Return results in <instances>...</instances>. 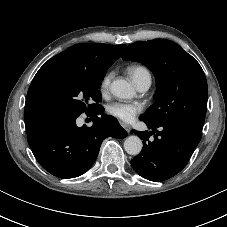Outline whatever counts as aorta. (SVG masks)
I'll return each mask as SVG.
<instances>
[{
  "instance_id": "obj_1",
  "label": "aorta",
  "mask_w": 227,
  "mask_h": 227,
  "mask_svg": "<svg viewBox=\"0 0 227 227\" xmlns=\"http://www.w3.org/2000/svg\"><path fill=\"white\" fill-rule=\"evenodd\" d=\"M110 90L114 96L123 99H131L136 94L132 85L124 79L114 80L110 85ZM142 147V141L138 136H129L124 141V149L130 155H138Z\"/></svg>"
}]
</instances>
